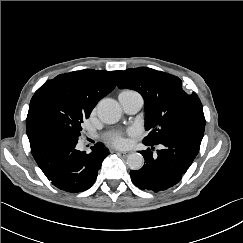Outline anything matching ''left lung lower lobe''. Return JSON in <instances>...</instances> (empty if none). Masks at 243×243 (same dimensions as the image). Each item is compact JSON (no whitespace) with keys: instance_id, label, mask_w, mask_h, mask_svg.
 I'll return each mask as SVG.
<instances>
[{"instance_id":"1","label":"left lung lower lobe","mask_w":243,"mask_h":243,"mask_svg":"<svg viewBox=\"0 0 243 243\" xmlns=\"http://www.w3.org/2000/svg\"><path fill=\"white\" fill-rule=\"evenodd\" d=\"M204 129L205 121L184 123L157 143L163 146L157 150V155L150 149L142 151L144 166L130 171L134 185L142 190L159 192L177 184L199 152Z\"/></svg>"}]
</instances>
